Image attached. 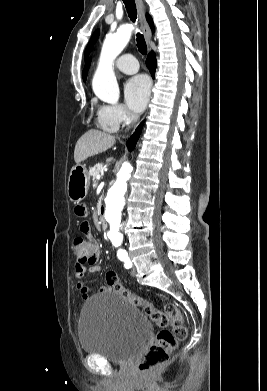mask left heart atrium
Wrapping results in <instances>:
<instances>
[{
	"label": "left heart atrium",
	"instance_id": "left-heart-atrium-1",
	"mask_svg": "<svg viewBox=\"0 0 267 391\" xmlns=\"http://www.w3.org/2000/svg\"><path fill=\"white\" fill-rule=\"evenodd\" d=\"M150 88V81L145 75L134 76L126 82L125 101L133 112L139 113L144 110L149 100Z\"/></svg>",
	"mask_w": 267,
	"mask_h": 391
}]
</instances>
